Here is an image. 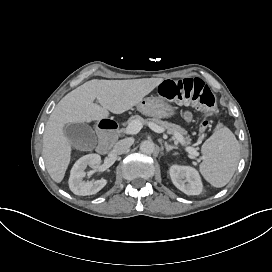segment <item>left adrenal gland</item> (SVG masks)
I'll use <instances>...</instances> for the list:
<instances>
[{"mask_svg":"<svg viewBox=\"0 0 272 272\" xmlns=\"http://www.w3.org/2000/svg\"><path fill=\"white\" fill-rule=\"evenodd\" d=\"M165 146H166V151H167V152H170V151H172L173 149H178L177 146H171V145H169L167 141L165 142Z\"/></svg>","mask_w":272,"mask_h":272,"instance_id":"left-adrenal-gland-1","label":"left adrenal gland"}]
</instances>
